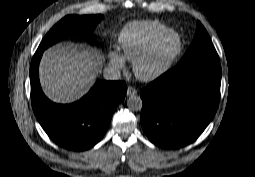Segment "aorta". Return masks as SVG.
I'll return each mask as SVG.
<instances>
[{"label":"aorta","instance_id":"obj_1","mask_svg":"<svg viewBox=\"0 0 255 177\" xmlns=\"http://www.w3.org/2000/svg\"><path fill=\"white\" fill-rule=\"evenodd\" d=\"M143 102L139 96H130L127 99V107L129 110L138 112L142 110Z\"/></svg>","mask_w":255,"mask_h":177}]
</instances>
